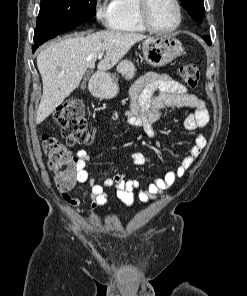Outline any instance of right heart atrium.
Listing matches in <instances>:
<instances>
[{
	"instance_id": "right-heart-atrium-1",
	"label": "right heart atrium",
	"mask_w": 247,
	"mask_h": 296,
	"mask_svg": "<svg viewBox=\"0 0 247 296\" xmlns=\"http://www.w3.org/2000/svg\"><path fill=\"white\" fill-rule=\"evenodd\" d=\"M94 16L100 24L110 26L113 19V9L109 0L94 1Z\"/></svg>"
}]
</instances>
